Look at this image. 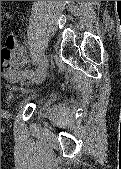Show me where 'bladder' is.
Returning <instances> with one entry per match:
<instances>
[{
    "label": "bladder",
    "instance_id": "1",
    "mask_svg": "<svg viewBox=\"0 0 121 169\" xmlns=\"http://www.w3.org/2000/svg\"><path fill=\"white\" fill-rule=\"evenodd\" d=\"M6 103L9 107H14L17 105V100L15 99L14 95L12 92H9L7 96Z\"/></svg>",
    "mask_w": 121,
    "mask_h": 169
}]
</instances>
